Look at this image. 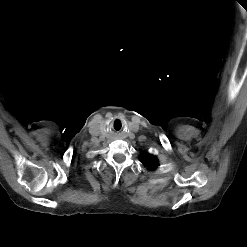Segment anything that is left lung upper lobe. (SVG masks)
Returning a JSON list of instances; mask_svg holds the SVG:
<instances>
[{"mask_svg": "<svg viewBox=\"0 0 247 247\" xmlns=\"http://www.w3.org/2000/svg\"><path fill=\"white\" fill-rule=\"evenodd\" d=\"M140 160L146 167H148L151 170H155L158 166L157 158L150 154L140 155Z\"/></svg>", "mask_w": 247, "mask_h": 247, "instance_id": "obj_1", "label": "left lung upper lobe"}]
</instances>
